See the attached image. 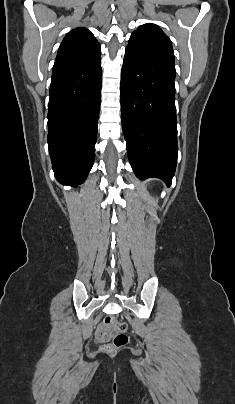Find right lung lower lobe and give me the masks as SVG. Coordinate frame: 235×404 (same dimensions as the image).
Masks as SVG:
<instances>
[{
    "mask_svg": "<svg viewBox=\"0 0 235 404\" xmlns=\"http://www.w3.org/2000/svg\"><path fill=\"white\" fill-rule=\"evenodd\" d=\"M101 77V57L53 68L48 147L55 177L64 185L81 184L93 166Z\"/></svg>",
    "mask_w": 235,
    "mask_h": 404,
    "instance_id": "1",
    "label": "right lung lower lobe"
}]
</instances>
